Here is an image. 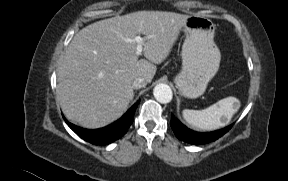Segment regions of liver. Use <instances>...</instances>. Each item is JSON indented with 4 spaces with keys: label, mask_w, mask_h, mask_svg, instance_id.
<instances>
[{
    "label": "liver",
    "mask_w": 288,
    "mask_h": 181,
    "mask_svg": "<svg viewBox=\"0 0 288 181\" xmlns=\"http://www.w3.org/2000/svg\"><path fill=\"white\" fill-rule=\"evenodd\" d=\"M188 16L166 11H138L92 23L80 30L62 57L57 99L64 115L85 128L118 119L134 97L133 81L151 83L156 64L170 54ZM137 34L145 36L136 55Z\"/></svg>",
    "instance_id": "obj_1"
}]
</instances>
